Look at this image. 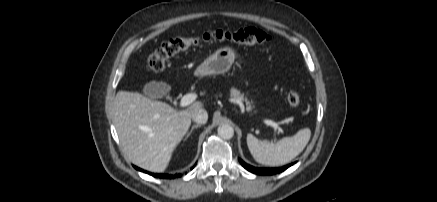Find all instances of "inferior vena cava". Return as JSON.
<instances>
[{"label":"inferior vena cava","instance_id":"602c4592","mask_svg":"<svg viewBox=\"0 0 437 202\" xmlns=\"http://www.w3.org/2000/svg\"><path fill=\"white\" fill-rule=\"evenodd\" d=\"M192 120L198 124H205L208 120V114L205 109H199L192 114Z\"/></svg>","mask_w":437,"mask_h":202}]
</instances>
